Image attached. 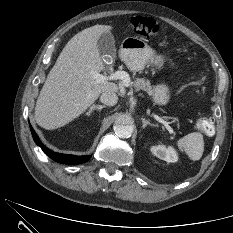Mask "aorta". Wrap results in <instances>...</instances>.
Segmentation results:
<instances>
[{"mask_svg": "<svg viewBox=\"0 0 233 233\" xmlns=\"http://www.w3.org/2000/svg\"><path fill=\"white\" fill-rule=\"evenodd\" d=\"M114 132L120 138H129L133 133V119L128 114H120L115 119Z\"/></svg>", "mask_w": 233, "mask_h": 233, "instance_id": "762f6f07", "label": "aorta"}]
</instances>
